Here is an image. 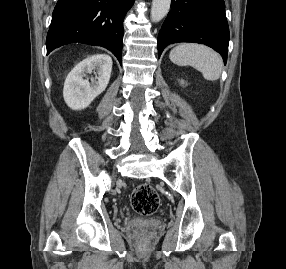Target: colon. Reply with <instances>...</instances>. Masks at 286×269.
I'll return each mask as SVG.
<instances>
[{"label": "colon", "instance_id": "1", "mask_svg": "<svg viewBox=\"0 0 286 269\" xmlns=\"http://www.w3.org/2000/svg\"><path fill=\"white\" fill-rule=\"evenodd\" d=\"M131 205L135 212L141 215H151L160 206V198L149 184L138 185L131 194ZM137 240L140 244L147 242V234L139 231Z\"/></svg>", "mask_w": 286, "mask_h": 269}]
</instances>
